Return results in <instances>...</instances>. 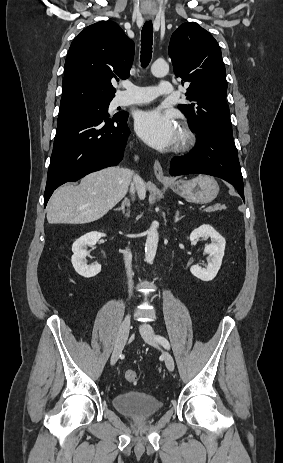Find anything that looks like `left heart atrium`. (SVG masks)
<instances>
[{
  "label": "left heart atrium",
  "instance_id": "39dd6f15",
  "mask_svg": "<svg viewBox=\"0 0 283 463\" xmlns=\"http://www.w3.org/2000/svg\"><path fill=\"white\" fill-rule=\"evenodd\" d=\"M135 130L144 142L157 149L171 147L178 138L174 119L157 109L139 112L135 118Z\"/></svg>",
  "mask_w": 283,
  "mask_h": 463
}]
</instances>
